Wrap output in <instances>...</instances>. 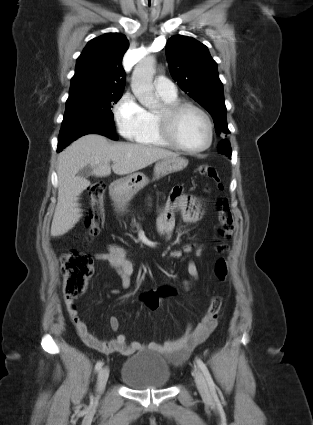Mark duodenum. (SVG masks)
Returning a JSON list of instances; mask_svg holds the SVG:
<instances>
[{
  "instance_id": "obj_1",
  "label": "duodenum",
  "mask_w": 313,
  "mask_h": 425,
  "mask_svg": "<svg viewBox=\"0 0 313 425\" xmlns=\"http://www.w3.org/2000/svg\"><path fill=\"white\" fill-rule=\"evenodd\" d=\"M117 188H118L117 184H113L112 187H111L112 193H116Z\"/></svg>"
}]
</instances>
